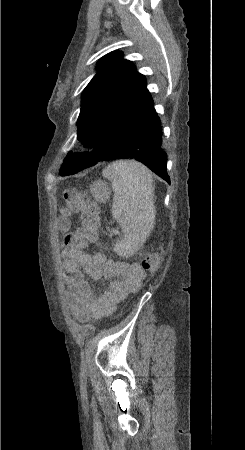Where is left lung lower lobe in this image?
Masks as SVG:
<instances>
[{
    "label": "left lung lower lobe",
    "mask_w": 245,
    "mask_h": 450,
    "mask_svg": "<svg viewBox=\"0 0 245 450\" xmlns=\"http://www.w3.org/2000/svg\"><path fill=\"white\" fill-rule=\"evenodd\" d=\"M97 150L90 153L96 159L101 155V153L97 154ZM100 158L103 159L101 161L123 158L136 159L170 183L166 169L167 154L162 149L161 122L154 106L150 107L139 127L119 151L114 150L107 155L103 154Z\"/></svg>",
    "instance_id": "obj_1"
}]
</instances>
